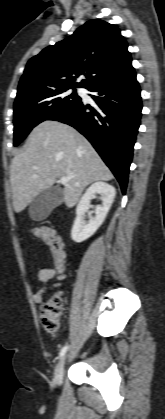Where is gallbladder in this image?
Here are the masks:
<instances>
[{
  "instance_id": "obj_1",
  "label": "gallbladder",
  "mask_w": 165,
  "mask_h": 419,
  "mask_svg": "<svg viewBox=\"0 0 165 419\" xmlns=\"http://www.w3.org/2000/svg\"><path fill=\"white\" fill-rule=\"evenodd\" d=\"M64 201L63 190L50 187L41 191L31 202L29 215L34 221L45 220L52 210Z\"/></svg>"
}]
</instances>
